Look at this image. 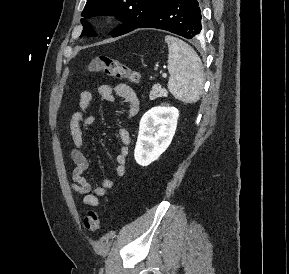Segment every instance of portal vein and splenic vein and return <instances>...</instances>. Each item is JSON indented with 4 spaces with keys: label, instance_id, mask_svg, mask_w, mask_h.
I'll use <instances>...</instances> for the list:
<instances>
[{
    "label": "portal vein and splenic vein",
    "instance_id": "18ae733b",
    "mask_svg": "<svg viewBox=\"0 0 289 274\" xmlns=\"http://www.w3.org/2000/svg\"><path fill=\"white\" fill-rule=\"evenodd\" d=\"M162 77H163V78H166V77H167V74H166V73H162Z\"/></svg>",
    "mask_w": 289,
    "mask_h": 274
}]
</instances>
